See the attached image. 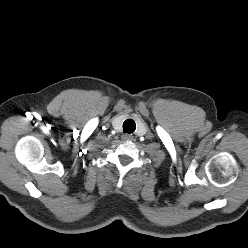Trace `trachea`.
I'll use <instances>...</instances> for the list:
<instances>
[{
	"label": "trachea",
	"instance_id": "1",
	"mask_svg": "<svg viewBox=\"0 0 248 248\" xmlns=\"http://www.w3.org/2000/svg\"><path fill=\"white\" fill-rule=\"evenodd\" d=\"M136 129V124L134 120L127 119L123 123V131L124 133H133Z\"/></svg>",
	"mask_w": 248,
	"mask_h": 248
}]
</instances>
